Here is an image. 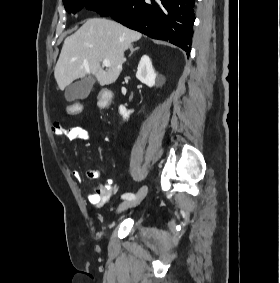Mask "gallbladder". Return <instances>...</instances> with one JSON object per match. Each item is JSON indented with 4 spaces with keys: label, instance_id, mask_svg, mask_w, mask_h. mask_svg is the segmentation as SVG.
I'll list each match as a JSON object with an SVG mask.
<instances>
[{
    "label": "gallbladder",
    "instance_id": "gallbladder-1",
    "mask_svg": "<svg viewBox=\"0 0 280 283\" xmlns=\"http://www.w3.org/2000/svg\"><path fill=\"white\" fill-rule=\"evenodd\" d=\"M94 84H95V79L92 77H88L80 81L71 83L70 85L67 86L65 90L66 100L72 102L77 99L87 98Z\"/></svg>",
    "mask_w": 280,
    "mask_h": 283
}]
</instances>
